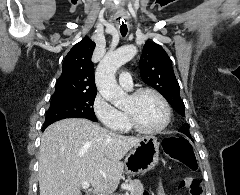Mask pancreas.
<instances>
[{
	"instance_id": "1",
	"label": "pancreas",
	"mask_w": 240,
	"mask_h": 195,
	"mask_svg": "<svg viewBox=\"0 0 240 195\" xmlns=\"http://www.w3.org/2000/svg\"><path fill=\"white\" fill-rule=\"evenodd\" d=\"M129 185L133 187L131 193L129 195H142L144 191L143 183H141L140 179H129Z\"/></svg>"
}]
</instances>
